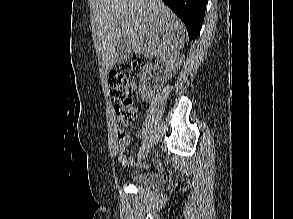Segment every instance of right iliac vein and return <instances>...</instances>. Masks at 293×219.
<instances>
[{
  "mask_svg": "<svg viewBox=\"0 0 293 219\" xmlns=\"http://www.w3.org/2000/svg\"><path fill=\"white\" fill-rule=\"evenodd\" d=\"M149 150H150L149 145L142 148L138 153V161H142L148 155Z\"/></svg>",
  "mask_w": 293,
  "mask_h": 219,
  "instance_id": "63e3f726",
  "label": "right iliac vein"
}]
</instances>
